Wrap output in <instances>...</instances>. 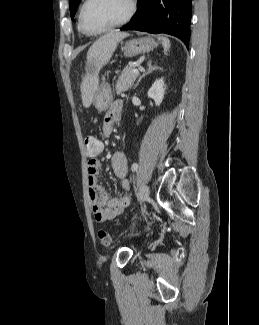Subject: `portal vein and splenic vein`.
Returning <instances> with one entry per match:
<instances>
[{"mask_svg": "<svg viewBox=\"0 0 259 325\" xmlns=\"http://www.w3.org/2000/svg\"><path fill=\"white\" fill-rule=\"evenodd\" d=\"M133 73L138 74L139 73V70L137 68H134L133 69Z\"/></svg>", "mask_w": 259, "mask_h": 325, "instance_id": "1", "label": "portal vein and splenic vein"}]
</instances>
